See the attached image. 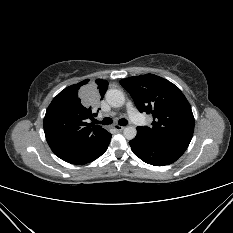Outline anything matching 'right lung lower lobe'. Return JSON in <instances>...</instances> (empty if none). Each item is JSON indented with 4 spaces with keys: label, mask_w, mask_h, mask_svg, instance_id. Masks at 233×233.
<instances>
[{
    "label": "right lung lower lobe",
    "mask_w": 233,
    "mask_h": 233,
    "mask_svg": "<svg viewBox=\"0 0 233 233\" xmlns=\"http://www.w3.org/2000/svg\"><path fill=\"white\" fill-rule=\"evenodd\" d=\"M110 139H111V136H110ZM110 139L109 141L106 143V145L97 153L95 154L92 158L84 161V162H81V163H72V164H86V163H89L95 159H97L98 157H100L107 149L108 145H109V142H110Z\"/></svg>",
    "instance_id": "obj_1"
}]
</instances>
